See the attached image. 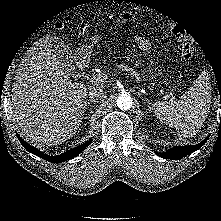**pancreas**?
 <instances>
[{"label":"pancreas","instance_id":"pancreas-1","mask_svg":"<svg viewBox=\"0 0 221 221\" xmlns=\"http://www.w3.org/2000/svg\"><path fill=\"white\" fill-rule=\"evenodd\" d=\"M153 79H155L154 76H147V77L145 78V80H150V81H152Z\"/></svg>","mask_w":221,"mask_h":221}]
</instances>
